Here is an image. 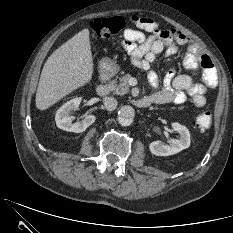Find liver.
<instances>
[{"mask_svg":"<svg viewBox=\"0 0 233 233\" xmlns=\"http://www.w3.org/2000/svg\"><path fill=\"white\" fill-rule=\"evenodd\" d=\"M93 74L89 30L84 29L55 50L41 72L36 107L46 110L88 83Z\"/></svg>","mask_w":233,"mask_h":233,"instance_id":"6515ba94","label":"liver"}]
</instances>
